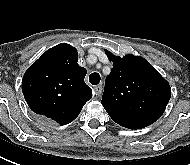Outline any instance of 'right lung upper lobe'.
I'll return each instance as SVG.
<instances>
[{"mask_svg": "<svg viewBox=\"0 0 190 165\" xmlns=\"http://www.w3.org/2000/svg\"><path fill=\"white\" fill-rule=\"evenodd\" d=\"M77 50L69 44L48 49L25 72L24 98L33 112L58 122H72L92 90L84 82L87 70L77 63Z\"/></svg>", "mask_w": 190, "mask_h": 165, "instance_id": "cb5924a9", "label": "right lung upper lobe"}]
</instances>
